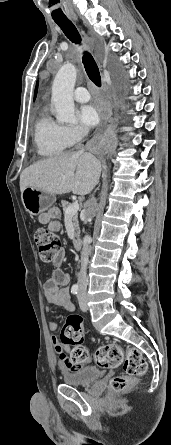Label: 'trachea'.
<instances>
[{
	"label": "trachea",
	"instance_id": "trachea-1",
	"mask_svg": "<svg viewBox=\"0 0 171 445\" xmlns=\"http://www.w3.org/2000/svg\"><path fill=\"white\" fill-rule=\"evenodd\" d=\"M58 26L63 30L67 38L70 41L79 44L81 42L80 34L78 33L74 24L68 20H55ZM83 64L85 67V71L89 77V79L98 87L101 86V76L99 72V68L90 53L85 52L83 55Z\"/></svg>",
	"mask_w": 171,
	"mask_h": 445
}]
</instances>
